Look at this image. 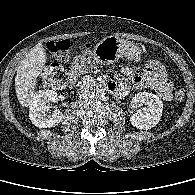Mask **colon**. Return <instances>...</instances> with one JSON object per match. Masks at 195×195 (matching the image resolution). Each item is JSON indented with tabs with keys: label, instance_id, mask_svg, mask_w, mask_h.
I'll return each mask as SVG.
<instances>
[{
	"label": "colon",
	"instance_id": "5ec220e1",
	"mask_svg": "<svg viewBox=\"0 0 195 195\" xmlns=\"http://www.w3.org/2000/svg\"><path fill=\"white\" fill-rule=\"evenodd\" d=\"M73 43L70 40H58L47 43L48 52L57 60H66L71 52ZM91 48L86 46L78 55L75 62L70 67H64L58 63H52L45 67L42 71L44 82L53 88H64L72 84L77 76L88 69L91 64ZM145 70L158 79H168L165 67L157 60H149ZM184 91L178 89L174 92V99L182 101L184 99Z\"/></svg>",
	"mask_w": 195,
	"mask_h": 195
}]
</instances>
